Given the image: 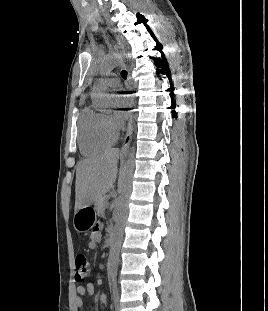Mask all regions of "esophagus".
<instances>
[{
  "instance_id": "esophagus-1",
  "label": "esophagus",
  "mask_w": 268,
  "mask_h": 311,
  "mask_svg": "<svg viewBox=\"0 0 268 311\" xmlns=\"http://www.w3.org/2000/svg\"><path fill=\"white\" fill-rule=\"evenodd\" d=\"M127 81L129 83L130 90H135L136 86L135 85L131 86L130 70H128ZM132 132H133V118L131 116V118L129 119V122H128L127 133H126L124 142H123L122 147H121V153L122 154H125L127 152L128 148H129V145H130V142H131V138H132Z\"/></svg>"
}]
</instances>
